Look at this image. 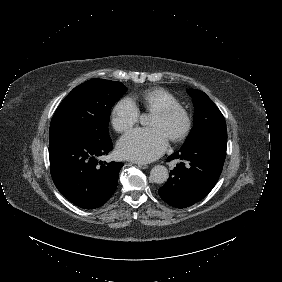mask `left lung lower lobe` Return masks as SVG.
<instances>
[{
	"instance_id": "0a47b994",
	"label": "left lung lower lobe",
	"mask_w": 282,
	"mask_h": 282,
	"mask_svg": "<svg viewBox=\"0 0 282 282\" xmlns=\"http://www.w3.org/2000/svg\"><path fill=\"white\" fill-rule=\"evenodd\" d=\"M227 130L207 131L167 158L183 162L158 190L171 206L186 208L202 200L217 183L226 157Z\"/></svg>"
}]
</instances>
